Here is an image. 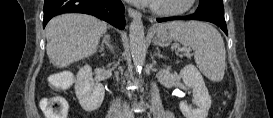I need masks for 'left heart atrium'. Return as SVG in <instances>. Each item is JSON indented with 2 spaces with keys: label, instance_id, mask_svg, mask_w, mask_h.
I'll list each match as a JSON object with an SVG mask.
<instances>
[{
  "label": "left heart atrium",
  "instance_id": "1",
  "mask_svg": "<svg viewBox=\"0 0 273 118\" xmlns=\"http://www.w3.org/2000/svg\"><path fill=\"white\" fill-rule=\"evenodd\" d=\"M137 4H141V5H155L159 0H132Z\"/></svg>",
  "mask_w": 273,
  "mask_h": 118
}]
</instances>
